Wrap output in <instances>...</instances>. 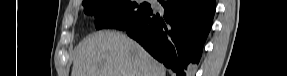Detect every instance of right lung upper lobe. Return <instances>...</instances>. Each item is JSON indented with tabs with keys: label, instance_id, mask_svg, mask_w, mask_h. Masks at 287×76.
<instances>
[{
	"label": "right lung upper lobe",
	"instance_id": "obj_1",
	"mask_svg": "<svg viewBox=\"0 0 287 76\" xmlns=\"http://www.w3.org/2000/svg\"><path fill=\"white\" fill-rule=\"evenodd\" d=\"M86 1H88V0H83V3L86 2Z\"/></svg>",
	"mask_w": 287,
	"mask_h": 76
}]
</instances>
